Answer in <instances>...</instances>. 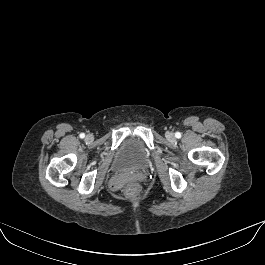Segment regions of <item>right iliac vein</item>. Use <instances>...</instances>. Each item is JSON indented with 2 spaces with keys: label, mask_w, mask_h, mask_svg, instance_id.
Masks as SVG:
<instances>
[{
  "label": "right iliac vein",
  "mask_w": 265,
  "mask_h": 265,
  "mask_svg": "<svg viewBox=\"0 0 265 265\" xmlns=\"http://www.w3.org/2000/svg\"><path fill=\"white\" fill-rule=\"evenodd\" d=\"M85 139H86V141L91 142V141H93L94 137L92 134H88Z\"/></svg>",
  "instance_id": "63e3f726"
}]
</instances>
